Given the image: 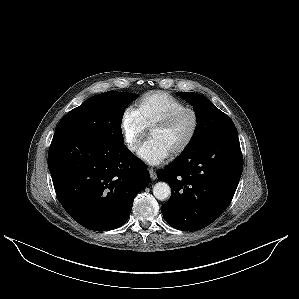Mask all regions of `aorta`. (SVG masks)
I'll use <instances>...</instances> for the list:
<instances>
[{"label":"aorta","mask_w":299,"mask_h":299,"mask_svg":"<svg viewBox=\"0 0 299 299\" xmlns=\"http://www.w3.org/2000/svg\"><path fill=\"white\" fill-rule=\"evenodd\" d=\"M153 195L158 200H165L171 195V188L165 182H158L153 187Z\"/></svg>","instance_id":"762f6f07"}]
</instances>
